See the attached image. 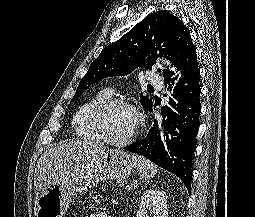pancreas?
Listing matches in <instances>:
<instances>
[{
	"label": "pancreas",
	"instance_id": "obj_1",
	"mask_svg": "<svg viewBox=\"0 0 255 217\" xmlns=\"http://www.w3.org/2000/svg\"><path fill=\"white\" fill-rule=\"evenodd\" d=\"M125 183H126L125 180H118V181H117V184H118L120 187H123Z\"/></svg>",
	"mask_w": 255,
	"mask_h": 217
}]
</instances>
